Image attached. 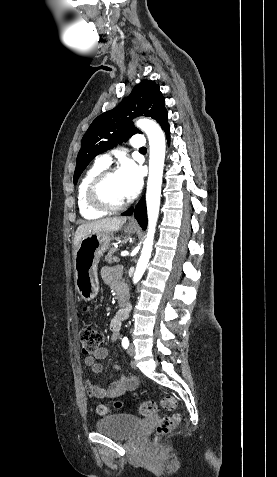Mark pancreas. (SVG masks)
Returning a JSON list of instances; mask_svg holds the SVG:
<instances>
[{
    "mask_svg": "<svg viewBox=\"0 0 277 477\" xmlns=\"http://www.w3.org/2000/svg\"><path fill=\"white\" fill-rule=\"evenodd\" d=\"M116 252H117L116 248H111L105 257V261L108 262L109 264H112L113 262H119V258L114 255Z\"/></svg>",
    "mask_w": 277,
    "mask_h": 477,
    "instance_id": "1",
    "label": "pancreas"
}]
</instances>
